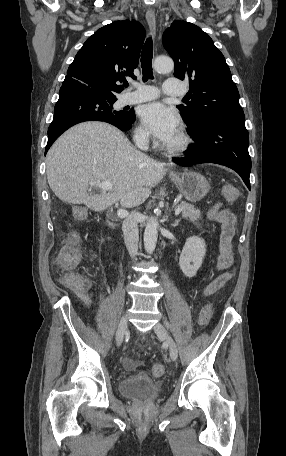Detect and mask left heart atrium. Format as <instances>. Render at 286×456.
I'll return each instance as SVG.
<instances>
[{
	"label": "left heart atrium",
	"mask_w": 286,
	"mask_h": 456,
	"mask_svg": "<svg viewBox=\"0 0 286 456\" xmlns=\"http://www.w3.org/2000/svg\"><path fill=\"white\" fill-rule=\"evenodd\" d=\"M140 118L154 137L164 144H169L179 132V119L176 112L160 102L142 106Z\"/></svg>",
	"instance_id": "39dd6f15"
}]
</instances>
